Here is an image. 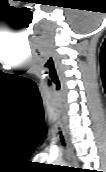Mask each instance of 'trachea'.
Instances as JSON below:
<instances>
[{
    "instance_id": "trachea-1",
    "label": "trachea",
    "mask_w": 106,
    "mask_h": 172,
    "mask_svg": "<svg viewBox=\"0 0 106 172\" xmlns=\"http://www.w3.org/2000/svg\"><path fill=\"white\" fill-rule=\"evenodd\" d=\"M60 134H61V132H60ZM60 137H61L62 142L64 143V138H63L62 134L60 135Z\"/></svg>"
}]
</instances>
